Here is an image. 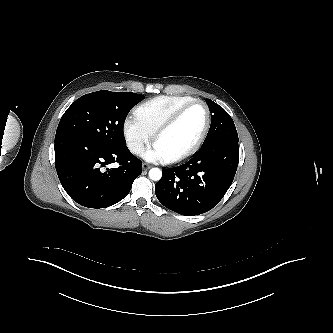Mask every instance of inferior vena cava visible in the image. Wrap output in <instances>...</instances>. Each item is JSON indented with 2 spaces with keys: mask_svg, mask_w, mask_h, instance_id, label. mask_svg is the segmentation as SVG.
<instances>
[{
  "mask_svg": "<svg viewBox=\"0 0 333 333\" xmlns=\"http://www.w3.org/2000/svg\"><path fill=\"white\" fill-rule=\"evenodd\" d=\"M129 147L134 154H140L143 151V144L141 143H132Z\"/></svg>",
  "mask_w": 333,
  "mask_h": 333,
  "instance_id": "obj_1",
  "label": "inferior vena cava"
}]
</instances>
